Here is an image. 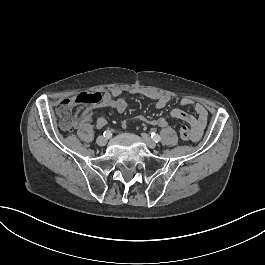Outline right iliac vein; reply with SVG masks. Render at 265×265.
I'll list each match as a JSON object with an SVG mask.
<instances>
[{
	"instance_id": "1",
	"label": "right iliac vein",
	"mask_w": 265,
	"mask_h": 265,
	"mask_svg": "<svg viewBox=\"0 0 265 265\" xmlns=\"http://www.w3.org/2000/svg\"><path fill=\"white\" fill-rule=\"evenodd\" d=\"M107 143V138L104 136H99L97 138V144L100 146H104Z\"/></svg>"
}]
</instances>
